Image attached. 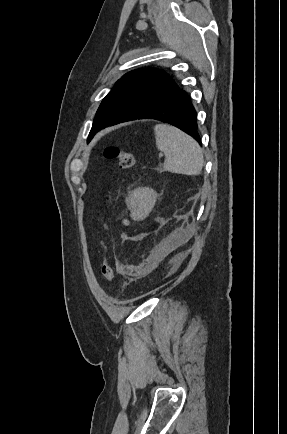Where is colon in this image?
<instances>
[{
    "label": "colon",
    "mask_w": 287,
    "mask_h": 434,
    "mask_svg": "<svg viewBox=\"0 0 287 434\" xmlns=\"http://www.w3.org/2000/svg\"><path fill=\"white\" fill-rule=\"evenodd\" d=\"M105 156L110 159H116L119 163L120 168L128 170L134 166L135 158L133 153L127 149H120L117 147H107L104 151ZM114 192L110 191L105 197L106 204L111 207L114 201ZM104 229L107 230V226L104 224ZM102 248L107 251L108 240L107 238H102L100 241ZM101 275L107 281L111 282L113 278V268L111 266L109 257L106 256L101 267Z\"/></svg>",
    "instance_id": "1"
}]
</instances>
